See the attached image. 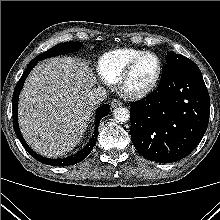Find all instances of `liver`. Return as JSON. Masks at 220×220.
I'll list each match as a JSON object with an SVG mask.
<instances>
[{"label":"liver","instance_id":"liver-1","mask_svg":"<svg viewBox=\"0 0 220 220\" xmlns=\"http://www.w3.org/2000/svg\"><path fill=\"white\" fill-rule=\"evenodd\" d=\"M96 77L85 62L54 57L29 74L19 98L18 120L28 145L45 157L63 156L82 139L94 105Z\"/></svg>","mask_w":220,"mask_h":220}]
</instances>
